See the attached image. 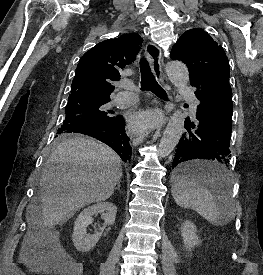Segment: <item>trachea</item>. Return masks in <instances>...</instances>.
I'll return each mask as SVG.
<instances>
[{
    "mask_svg": "<svg viewBox=\"0 0 263 275\" xmlns=\"http://www.w3.org/2000/svg\"><path fill=\"white\" fill-rule=\"evenodd\" d=\"M140 72H141V89L151 91L162 99H167V94L163 88L157 83L155 77L151 72L150 65L146 58L140 60Z\"/></svg>",
    "mask_w": 263,
    "mask_h": 275,
    "instance_id": "trachea-1",
    "label": "trachea"
}]
</instances>
